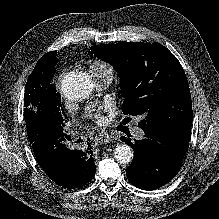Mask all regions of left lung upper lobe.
Masks as SVG:
<instances>
[{
  "label": "left lung upper lobe",
  "mask_w": 219,
  "mask_h": 219,
  "mask_svg": "<svg viewBox=\"0 0 219 219\" xmlns=\"http://www.w3.org/2000/svg\"><path fill=\"white\" fill-rule=\"evenodd\" d=\"M120 77L125 115H141L143 131L167 137L191 134L192 102L185 72L159 43L120 42L92 46Z\"/></svg>",
  "instance_id": "5c2ea615"
}]
</instances>
